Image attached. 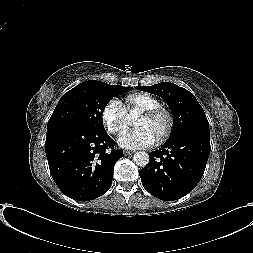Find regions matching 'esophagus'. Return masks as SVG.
I'll list each match as a JSON object with an SVG mask.
<instances>
[{
    "label": "esophagus",
    "mask_w": 253,
    "mask_h": 253,
    "mask_svg": "<svg viewBox=\"0 0 253 253\" xmlns=\"http://www.w3.org/2000/svg\"><path fill=\"white\" fill-rule=\"evenodd\" d=\"M133 153V151H125V155H132Z\"/></svg>",
    "instance_id": "34e87169"
}]
</instances>
